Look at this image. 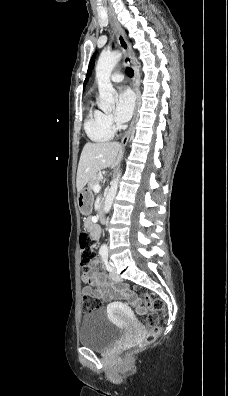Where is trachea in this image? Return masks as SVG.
<instances>
[{
    "instance_id": "trachea-1",
    "label": "trachea",
    "mask_w": 228,
    "mask_h": 396,
    "mask_svg": "<svg viewBox=\"0 0 228 396\" xmlns=\"http://www.w3.org/2000/svg\"><path fill=\"white\" fill-rule=\"evenodd\" d=\"M126 72H127V74H128L130 77H133L134 72H133V70H132L130 67H127V68H126Z\"/></svg>"
}]
</instances>
